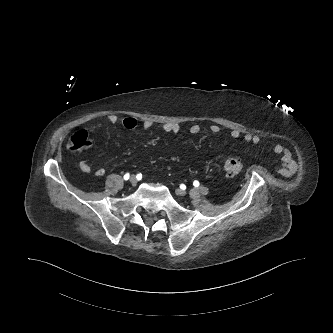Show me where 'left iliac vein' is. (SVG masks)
<instances>
[{
    "label": "left iliac vein",
    "instance_id": "obj_1",
    "mask_svg": "<svg viewBox=\"0 0 333 333\" xmlns=\"http://www.w3.org/2000/svg\"><path fill=\"white\" fill-rule=\"evenodd\" d=\"M176 194H177L178 196H185V195H186V192H185L184 190H182V189H177V190H176Z\"/></svg>",
    "mask_w": 333,
    "mask_h": 333
}]
</instances>
